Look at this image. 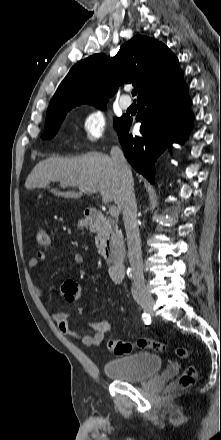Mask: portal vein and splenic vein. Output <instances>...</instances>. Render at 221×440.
I'll return each mask as SVG.
<instances>
[{"label":"portal vein and splenic vein","instance_id":"obj_1","mask_svg":"<svg viewBox=\"0 0 221 440\" xmlns=\"http://www.w3.org/2000/svg\"><path fill=\"white\" fill-rule=\"evenodd\" d=\"M80 190L85 191V192H89V193H95L96 192V189H93V188L87 187V186L80 187ZM109 213H110V215L112 217H118L119 216V210L114 205L109 207Z\"/></svg>","mask_w":221,"mask_h":440}]
</instances>
